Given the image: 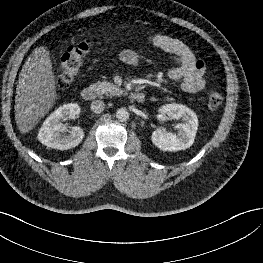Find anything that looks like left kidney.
I'll return each instance as SVG.
<instances>
[{
    "mask_svg": "<svg viewBox=\"0 0 263 263\" xmlns=\"http://www.w3.org/2000/svg\"><path fill=\"white\" fill-rule=\"evenodd\" d=\"M172 119H182L184 123L175 126L177 133L157 129L152 133L153 144L163 151H180L192 146L198 128L196 114L188 107L180 104H167L160 109Z\"/></svg>",
    "mask_w": 263,
    "mask_h": 263,
    "instance_id": "5707ae66",
    "label": "left kidney"
}]
</instances>
